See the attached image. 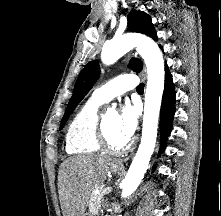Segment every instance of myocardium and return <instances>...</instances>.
Here are the masks:
<instances>
[{"label":"myocardium","mask_w":221,"mask_h":216,"mask_svg":"<svg viewBox=\"0 0 221 216\" xmlns=\"http://www.w3.org/2000/svg\"><path fill=\"white\" fill-rule=\"evenodd\" d=\"M98 137L100 144L103 149L106 151L112 152V153H122L127 150H129L132 146V142L126 141L125 143H122L120 145H115L113 144L106 131V126H105V117H102L99 122V127H98Z\"/></svg>","instance_id":"myocardium-1"}]
</instances>
